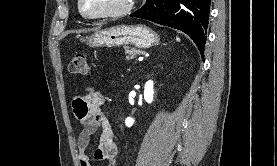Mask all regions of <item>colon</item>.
Instances as JSON below:
<instances>
[{
	"label": "colon",
	"instance_id": "5ec220e1",
	"mask_svg": "<svg viewBox=\"0 0 277 166\" xmlns=\"http://www.w3.org/2000/svg\"><path fill=\"white\" fill-rule=\"evenodd\" d=\"M69 70L73 74H86L88 70L87 59L84 54H77L69 63Z\"/></svg>",
	"mask_w": 277,
	"mask_h": 166
}]
</instances>
